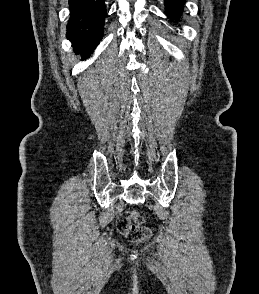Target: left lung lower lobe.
I'll return each mask as SVG.
<instances>
[{
  "label": "left lung lower lobe",
  "mask_w": 259,
  "mask_h": 294,
  "mask_svg": "<svg viewBox=\"0 0 259 294\" xmlns=\"http://www.w3.org/2000/svg\"><path fill=\"white\" fill-rule=\"evenodd\" d=\"M185 0H165V14L171 19H178L182 13Z\"/></svg>",
  "instance_id": "left-lung-lower-lobe-1"
}]
</instances>
